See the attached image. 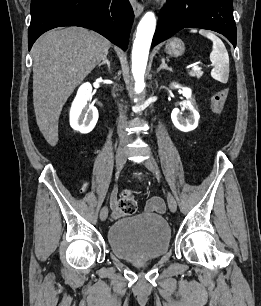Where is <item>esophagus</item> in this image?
<instances>
[{
	"mask_svg": "<svg viewBox=\"0 0 261 306\" xmlns=\"http://www.w3.org/2000/svg\"><path fill=\"white\" fill-rule=\"evenodd\" d=\"M135 17H139L141 13L143 12V6L140 2L137 0H130Z\"/></svg>",
	"mask_w": 261,
	"mask_h": 306,
	"instance_id": "1",
	"label": "esophagus"
}]
</instances>
